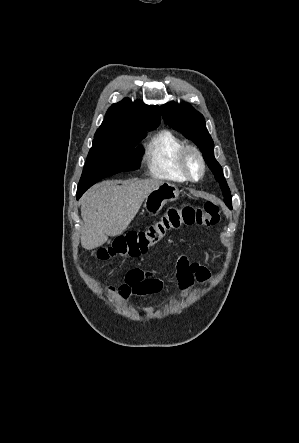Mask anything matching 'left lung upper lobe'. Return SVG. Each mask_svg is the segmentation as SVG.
Segmentation results:
<instances>
[{"mask_svg":"<svg viewBox=\"0 0 299 443\" xmlns=\"http://www.w3.org/2000/svg\"><path fill=\"white\" fill-rule=\"evenodd\" d=\"M161 112L166 123L173 129L182 132L200 148L205 162L219 182L224 196V202L232 207V197L223 175L220 164L214 158V143L209 135L204 117L188 104L169 102L161 107Z\"/></svg>","mask_w":299,"mask_h":443,"instance_id":"5c2ea615","label":"left lung upper lobe"}]
</instances>
